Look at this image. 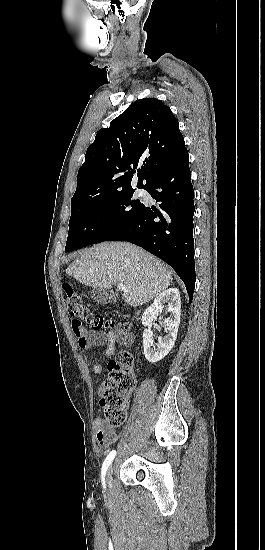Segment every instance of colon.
<instances>
[{"label": "colon", "instance_id": "colon-1", "mask_svg": "<svg viewBox=\"0 0 265 550\" xmlns=\"http://www.w3.org/2000/svg\"><path fill=\"white\" fill-rule=\"evenodd\" d=\"M63 290L66 294L68 312L74 318L76 327H81L83 322L94 330L116 326L114 322L105 320L101 315L91 314L82 296L70 284L65 283ZM133 366V356L128 351H120L108 364L109 375L103 387L100 406L103 420L109 428L120 427L126 420L127 399L136 384Z\"/></svg>", "mask_w": 265, "mask_h": 550}]
</instances>
